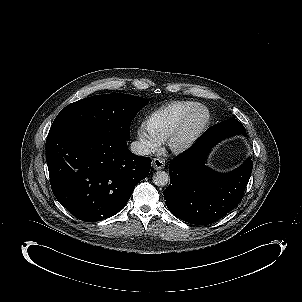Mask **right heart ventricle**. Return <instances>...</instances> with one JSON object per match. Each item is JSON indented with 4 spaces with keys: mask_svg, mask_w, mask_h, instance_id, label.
<instances>
[{
    "mask_svg": "<svg viewBox=\"0 0 302 302\" xmlns=\"http://www.w3.org/2000/svg\"><path fill=\"white\" fill-rule=\"evenodd\" d=\"M197 104L191 101L170 102L154 111L146 120L148 130L164 140L180 122L181 118L195 108Z\"/></svg>",
    "mask_w": 302,
    "mask_h": 302,
    "instance_id": "obj_1",
    "label": "right heart ventricle"
}]
</instances>
